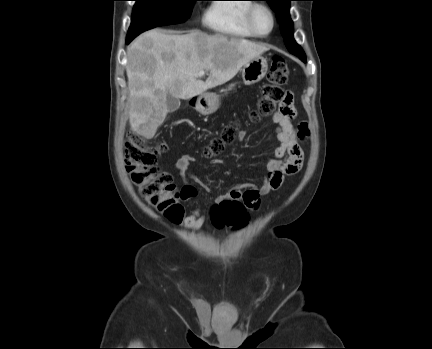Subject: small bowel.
Here are the masks:
<instances>
[{
	"label": "small bowel",
	"mask_w": 432,
	"mask_h": 349,
	"mask_svg": "<svg viewBox=\"0 0 432 349\" xmlns=\"http://www.w3.org/2000/svg\"><path fill=\"white\" fill-rule=\"evenodd\" d=\"M296 115L292 104L289 111H277L272 116V122L276 125V137L279 145L274 150L273 156L266 163L267 175L261 185L255 183H242L233 187L227 194L216 197V204L223 201H240L244 203L247 209H257L261 197L272 191L279 189L286 177L297 174L303 165L304 153L300 142L309 136V128L306 123H300L295 127L292 123ZM245 138V132L238 135V140ZM195 162V158L189 154L181 155L176 163L175 168L180 177L188 175L193 181L200 184L205 190L207 186L200 182L189 169ZM222 163L219 159L212 160V164ZM197 195V188L189 183H185L181 190V198L188 202ZM205 221V213L200 209H195L190 215L183 219V225L186 229L197 231Z\"/></svg>",
	"instance_id": "c3829d8e"
}]
</instances>
